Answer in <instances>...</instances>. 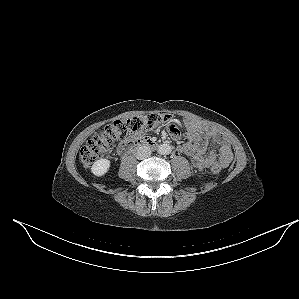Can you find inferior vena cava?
Returning <instances> with one entry per match:
<instances>
[{
	"instance_id": "inferior-vena-cava-1",
	"label": "inferior vena cava",
	"mask_w": 299,
	"mask_h": 299,
	"mask_svg": "<svg viewBox=\"0 0 299 299\" xmlns=\"http://www.w3.org/2000/svg\"><path fill=\"white\" fill-rule=\"evenodd\" d=\"M151 156V149L150 147L148 146H141L139 147V149L137 150V153H136V157L137 159L139 160H143V159H146L148 157Z\"/></svg>"
}]
</instances>
